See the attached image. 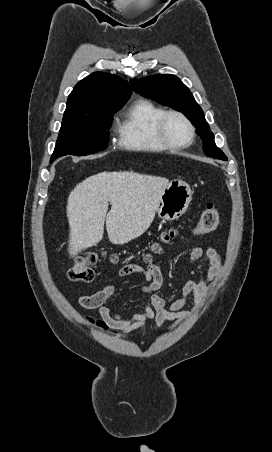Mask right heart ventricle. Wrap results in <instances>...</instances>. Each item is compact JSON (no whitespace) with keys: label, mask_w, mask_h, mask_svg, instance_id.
Instances as JSON below:
<instances>
[{"label":"right heart ventricle","mask_w":272,"mask_h":452,"mask_svg":"<svg viewBox=\"0 0 272 452\" xmlns=\"http://www.w3.org/2000/svg\"><path fill=\"white\" fill-rule=\"evenodd\" d=\"M164 109L147 99L135 102L118 126L119 145L137 152L169 150L159 138L157 122Z\"/></svg>","instance_id":"1"}]
</instances>
